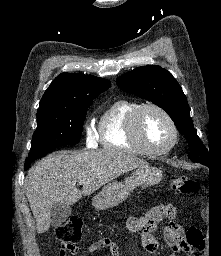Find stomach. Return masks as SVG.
<instances>
[{"label": "stomach", "instance_id": "0dacf381", "mask_svg": "<svg viewBox=\"0 0 221 256\" xmlns=\"http://www.w3.org/2000/svg\"><path fill=\"white\" fill-rule=\"evenodd\" d=\"M162 179V171L150 165L135 170L125 181H114L103 187L92 200L98 210L114 207L123 202L128 195L139 186H153Z\"/></svg>", "mask_w": 221, "mask_h": 256}]
</instances>
